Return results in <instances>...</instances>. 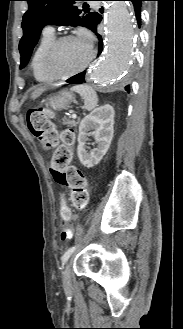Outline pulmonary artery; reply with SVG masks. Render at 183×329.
<instances>
[{
  "instance_id": "obj_1",
  "label": "pulmonary artery",
  "mask_w": 183,
  "mask_h": 329,
  "mask_svg": "<svg viewBox=\"0 0 183 329\" xmlns=\"http://www.w3.org/2000/svg\"><path fill=\"white\" fill-rule=\"evenodd\" d=\"M93 6L94 7H97V4L96 3H93ZM44 32H47V33H54V28L50 25L46 26L44 28Z\"/></svg>"
}]
</instances>
